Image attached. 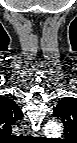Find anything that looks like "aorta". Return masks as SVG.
Segmentation results:
<instances>
[{
	"label": "aorta",
	"instance_id": "obj_1",
	"mask_svg": "<svg viewBox=\"0 0 77 143\" xmlns=\"http://www.w3.org/2000/svg\"><path fill=\"white\" fill-rule=\"evenodd\" d=\"M44 129H45V134L47 135L58 134V133H61L62 131V127L60 123L55 122V121L48 122L45 125Z\"/></svg>",
	"mask_w": 77,
	"mask_h": 143
}]
</instances>
